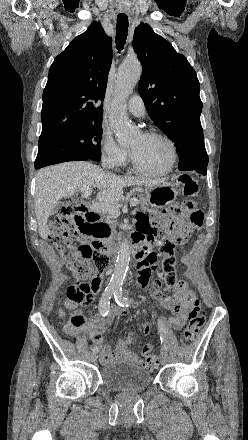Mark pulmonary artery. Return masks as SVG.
Returning a JSON list of instances; mask_svg holds the SVG:
<instances>
[{
  "label": "pulmonary artery",
  "instance_id": "pulmonary-artery-1",
  "mask_svg": "<svg viewBox=\"0 0 248 440\" xmlns=\"http://www.w3.org/2000/svg\"><path fill=\"white\" fill-rule=\"evenodd\" d=\"M127 108L128 111L136 117H142L146 112L144 102L139 95H134L129 99Z\"/></svg>",
  "mask_w": 248,
  "mask_h": 440
}]
</instances>
